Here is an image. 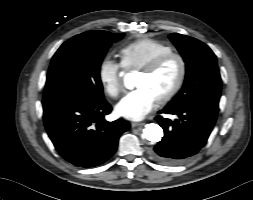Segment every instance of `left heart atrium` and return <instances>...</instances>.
Instances as JSON below:
<instances>
[{
  "label": "left heart atrium",
  "instance_id": "obj_1",
  "mask_svg": "<svg viewBox=\"0 0 253 200\" xmlns=\"http://www.w3.org/2000/svg\"><path fill=\"white\" fill-rule=\"evenodd\" d=\"M157 104V98L146 88H137L128 93L116 105V112L130 120H141Z\"/></svg>",
  "mask_w": 253,
  "mask_h": 200
}]
</instances>
